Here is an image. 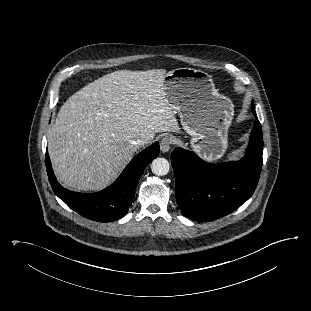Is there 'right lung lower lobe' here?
Wrapping results in <instances>:
<instances>
[{
    "instance_id": "1",
    "label": "right lung lower lobe",
    "mask_w": 311,
    "mask_h": 311,
    "mask_svg": "<svg viewBox=\"0 0 311 311\" xmlns=\"http://www.w3.org/2000/svg\"><path fill=\"white\" fill-rule=\"evenodd\" d=\"M156 142L143 150L123 170L108 188L93 194H82L63 188L53 173L48 153L45 161L49 182L54 193L71 209L85 218L98 222H112L126 214L134 197L136 185L145 167L159 155Z\"/></svg>"
}]
</instances>
